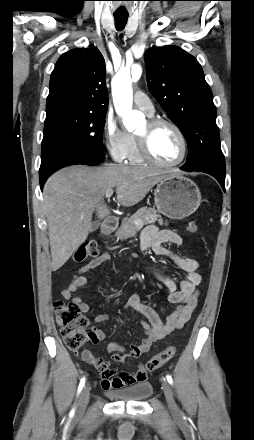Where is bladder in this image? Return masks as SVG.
Segmentation results:
<instances>
[{
  "label": "bladder",
  "instance_id": "bladder-1",
  "mask_svg": "<svg viewBox=\"0 0 254 440\" xmlns=\"http://www.w3.org/2000/svg\"><path fill=\"white\" fill-rule=\"evenodd\" d=\"M153 391V387L149 382H140L135 385L107 392L111 398L125 402H136L148 398Z\"/></svg>",
  "mask_w": 254,
  "mask_h": 440
}]
</instances>
